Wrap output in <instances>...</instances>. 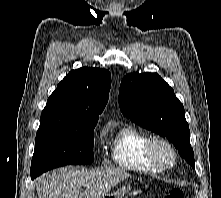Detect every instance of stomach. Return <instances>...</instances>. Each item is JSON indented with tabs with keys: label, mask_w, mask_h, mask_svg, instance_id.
<instances>
[{
	"label": "stomach",
	"mask_w": 221,
	"mask_h": 198,
	"mask_svg": "<svg viewBox=\"0 0 221 198\" xmlns=\"http://www.w3.org/2000/svg\"><path fill=\"white\" fill-rule=\"evenodd\" d=\"M130 194H132V186L130 182H126L119 189L104 195L102 198H127Z\"/></svg>",
	"instance_id": "obj_1"
}]
</instances>
